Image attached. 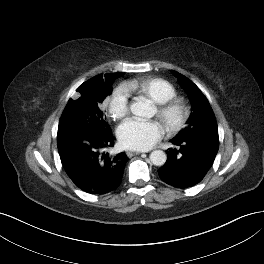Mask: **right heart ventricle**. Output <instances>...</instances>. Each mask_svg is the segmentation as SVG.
Returning <instances> with one entry per match:
<instances>
[{
	"label": "right heart ventricle",
	"instance_id": "e07e8e85",
	"mask_svg": "<svg viewBox=\"0 0 264 264\" xmlns=\"http://www.w3.org/2000/svg\"><path fill=\"white\" fill-rule=\"evenodd\" d=\"M125 87L129 92L145 96L157 104H162L174 98L175 87L167 80L159 77H143L128 82Z\"/></svg>",
	"mask_w": 264,
	"mask_h": 264
}]
</instances>
